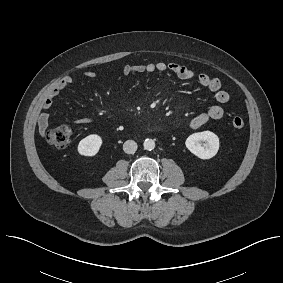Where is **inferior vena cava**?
Instances as JSON below:
<instances>
[{
    "label": "inferior vena cava",
    "instance_id": "obj_1",
    "mask_svg": "<svg viewBox=\"0 0 283 283\" xmlns=\"http://www.w3.org/2000/svg\"><path fill=\"white\" fill-rule=\"evenodd\" d=\"M123 150L127 154H133L137 150V143L133 140H127L123 144Z\"/></svg>",
    "mask_w": 283,
    "mask_h": 283
}]
</instances>
